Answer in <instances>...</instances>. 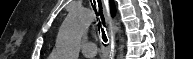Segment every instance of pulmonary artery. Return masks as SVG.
<instances>
[{"mask_svg": "<svg viewBox=\"0 0 193 59\" xmlns=\"http://www.w3.org/2000/svg\"><path fill=\"white\" fill-rule=\"evenodd\" d=\"M82 53L84 56L87 58H91L97 54V46L95 43L88 42L85 43L83 48H82Z\"/></svg>", "mask_w": 193, "mask_h": 59, "instance_id": "pulmonary-artery-1", "label": "pulmonary artery"}]
</instances>
